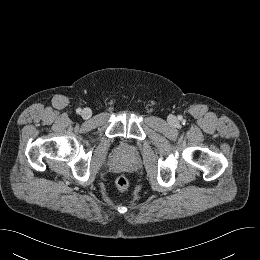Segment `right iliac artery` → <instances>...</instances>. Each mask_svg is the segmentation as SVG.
<instances>
[{
    "label": "right iliac artery",
    "mask_w": 260,
    "mask_h": 260,
    "mask_svg": "<svg viewBox=\"0 0 260 260\" xmlns=\"http://www.w3.org/2000/svg\"><path fill=\"white\" fill-rule=\"evenodd\" d=\"M81 111H82L81 108H77V109H76V113H77V114H80Z\"/></svg>",
    "instance_id": "right-iliac-artery-1"
}]
</instances>
